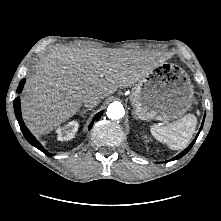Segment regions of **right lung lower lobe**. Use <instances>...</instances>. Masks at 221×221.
I'll list each match as a JSON object with an SVG mask.
<instances>
[{"mask_svg":"<svg viewBox=\"0 0 221 221\" xmlns=\"http://www.w3.org/2000/svg\"><path fill=\"white\" fill-rule=\"evenodd\" d=\"M24 83H25V79H22L21 82L19 83V86L17 89L18 93H20L22 91ZM14 111H15V115L18 120V123L20 125L21 131H22L24 137L27 139V141L30 144H32L33 146H35L36 148H38L39 150H41L42 152H44L45 154L51 156V154H48L47 152L44 151L42 145L37 141V139L30 133L28 128L25 126V124L22 120V116H21L19 97L14 100ZM102 113L103 112H99L95 115V117L93 118L92 122L89 125V129L92 127L93 123L101 117Z\"/></svg>","mask_w":221,"mask_h":221,"instance_id":"98d812e1","label":"right lung lower lobe"}]
</instances>
